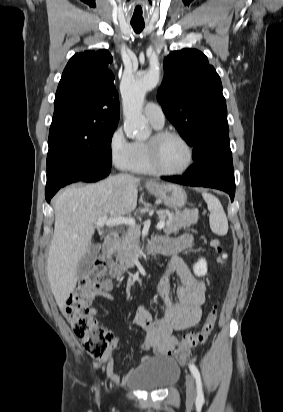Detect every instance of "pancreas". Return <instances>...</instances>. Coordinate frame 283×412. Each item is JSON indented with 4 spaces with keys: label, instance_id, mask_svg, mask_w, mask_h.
<instances>
[{
    "label": "pancreas",
    "instance_id": "1",
    "mask_svg": "<svg viewBox=\"0 0 283 412\" xmlns=\"http://www.w3.org/2000/svg\"><path fill=\"white\" fill-rule=\"evenodd\" d=\"M198 221L197 210L176 211L168 214V220L164 228L166 234L177 233L179 230L187 229ZM140 244V229L130 227L122 235V238L117 241L115 246L116 261L120 265H132L134 256L139 251Z\"/></svg>",
    "mask_w": 283,
    "mask_h": 412
}]
</instances>
